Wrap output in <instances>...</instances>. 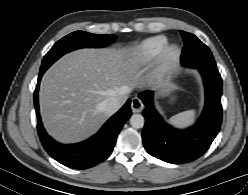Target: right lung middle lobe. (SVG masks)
<instances>
[{
  "mask_svg": "<svg viewBox=\"0 0 248 195\" xmlns=\"http://www.w3.org/2000/svg\"><path fill=\"white\" fill-rule=\"evenodd\" d=\"M116 35H98L85 31H75L60 39L45 55L40 70H47L64 54L84 47H104L112 43Z\"/></svg>",
  "mask_w": 248,
  "mask_h": 195,
  "instance_id": "1",
  "label": "right lung middle lobe"
}]
</instances>
